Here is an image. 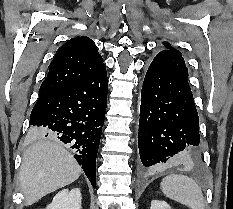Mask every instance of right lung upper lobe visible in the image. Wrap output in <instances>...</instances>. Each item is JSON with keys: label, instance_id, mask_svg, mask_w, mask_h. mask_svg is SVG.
<instances>
[{"label": "right lung upper lobe", "instance_id": "cb5924a9", "mask_svg": "<svg viewBox=\"0 0 233 209\" xmlns=\"http://www.w3.org/2000/svg\"><path fill=\"white\" fill-rule=\"evenodd\" d=\"M105 64L95 43L88 37H76L63 44L49 65L39 97L79 82Z\"/></svg>", "mask_w": 233, "mask_h": 209}]
</instances>
